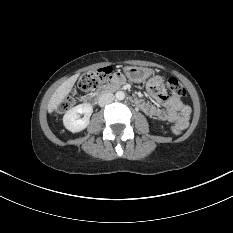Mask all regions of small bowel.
<instances>
[{"label":"small bowel","instance_id":"obj_1","mask_svg":"<svg viewBox=\"0 0 233 233\" xmlns=\"http://www.w3.org/2000/svg\"><path fill=\"white\" fill-rule=\"evenodd\" d=\"M126 79L124 72H118L111 77L114 85H120ZM150 96L157 105L139 99L137 105L145 114L161 121L174 123L184 130L189 122L191 110L180 99L167 95L163 80L160 77H150L146 82Z\"/></svg>","mask_w":233,"mask_h":233}]
</instances>
